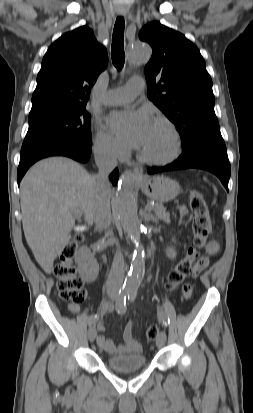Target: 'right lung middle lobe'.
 <instances>
[{
    "label": "right lung middle lobe",
    "instance_id": "obj_1",
    "mask_svg": "<svg viewBox=\"0 0 253 413\" xmlns=\"http://www.w3.org/2000/svg\"><path fill=\"white\" fill-rule=\"evenodd\" d=\"M85 107H51L30 112L21 153L58 144L92 145L91 116Z\"/></svg>",
    "mask_w": 253,
    "mask_h": 413
}]
</instances>
